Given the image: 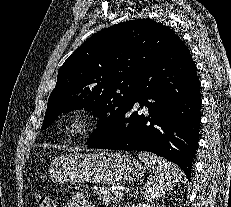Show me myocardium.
Returning <instances> with one entry per match:
<instances>
[{
	"instance_id": "f54148a6",
	"label": "myocardium",
	"mask_w": 231,
	"mask_h": 207,
	"mask_svg": "<svg viewBox=\"0 0 231 207\" xmlns=\"http://www.w3.org/2000/svg\"><path fill=\"white\" fill-rule=\"evenodd\" d=\"M94 127L93 115L84 109L71 112L63 125L64 132L71 138H79L87 135Z\"/></svg>"
}]
</instances>
